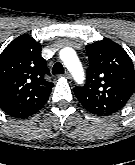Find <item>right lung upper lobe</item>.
I'll return each mask as SVG.
<instances>
[{"label":"right lung upper lobe","instance_id":"right-lung-upper-lobe-1","mask_svg":"<svg viewBox=\"0 0 135 165\" xmlns=\"http://www.w3.org/2000/svg\"><path fill=\"white\" fill-rule=\"evenodd\" d=\"M46 75L41 45L28 34L14 39L0 55V108L17 118L36 113L53 87Z\"/></svg>","mask_w":135,"mask_h":165}]
</instances>
